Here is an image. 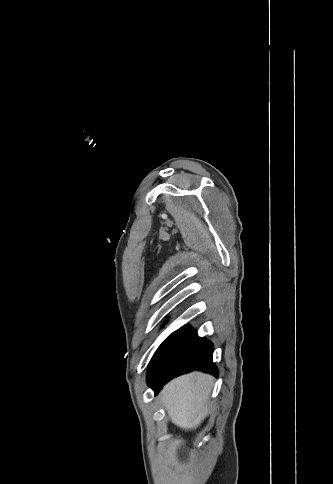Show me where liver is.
Segmentation results:
<instances>
[{"instance_id": "6515ba94", "label": "liver", "mask_w": 333, "mask_h": 484, "mask_svg": "<svg viewBox=\"0 0 333 484\" xmlns=\"http://www.w3.org/2000/svg\"><path fill=\"white\" fill-rule=\"evenodd\" d=\"M214 378L201 372L182 375L169 382L160 399L172 422L181 429L198 427L208 413Z\"/></svg>"}]
</instances>
